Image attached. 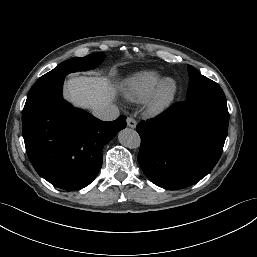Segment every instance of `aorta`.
<instances>
[{"instance_id":"aorta-1","label":"aorta","mask_w":257,"mask_h":257,"mask_svg":"<svg viewBox=\"0 0 257 257\" xmlns=\"http://www.w3.org/2000/svg\"><path fill=\"white\" fill-rule=\"evenodd\" d=\"M118 140L123 146L130 149L138 148L141 142L139 134L130 128L121 130L118 134Z\"/></svg>"}]
</instances>
